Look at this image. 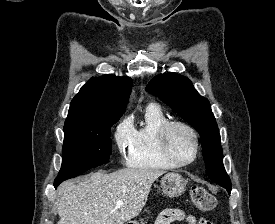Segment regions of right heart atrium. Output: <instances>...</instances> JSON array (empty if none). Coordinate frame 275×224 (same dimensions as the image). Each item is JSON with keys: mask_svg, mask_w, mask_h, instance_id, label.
Segmentation results:
<instances>
[{"mask_svg": "<svg viewBox=\"0 0 275 224\" xmlns=\"http://www.w3.org/2000/svg\"><path fill=\"white\" fill-rule=\"evenodd\" d=\"M134 127L129 118L123 119L116 127L114 132V141L121 154L129 151L133 141Z\"/></svg>", "mask_w": 275, "mask_h": 224, "instance_id": "obj_1", "label": "right heart atrium"}]
</instances>
